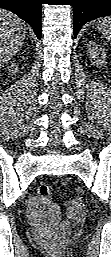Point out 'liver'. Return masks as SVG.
<instances>
[{"instance_id":"liver-1","label":"liver","mask_w":111,"mask_h":257,"mask_svg":"<svg viewBox=\"0 0 111 257\" xmlns=\"http://www.w3.org/2000/svg\"><path fill=\"white\" fill-rule=\"evenodd\" d=\"M26 38L25 23L6 10L0 11V66L3 67L21 48Z\"/></svg>"}]
</instances>
